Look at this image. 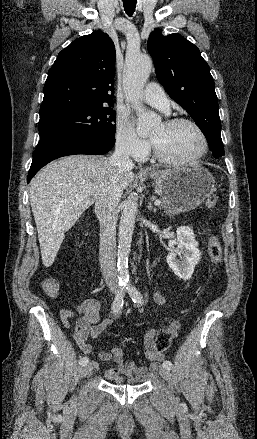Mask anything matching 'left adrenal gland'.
I'll return each mask as SVG.
<instances>
[{"mask_svg":"<svg viewBox=\"0 0 257 439\" xmlns=\"http://www.w3.org/2000/svg\"><path fill=\"white\" fill-rule=\"evenodd\" d=\"M149 211H153L154 213L156 212V208L153 207L152 203L149 201V204L147 206Z\"/></svg>","mask_w":257,"mask_h":439,"instance_id":"a2214340","label":"left adrenal gland"}]
</instances>
